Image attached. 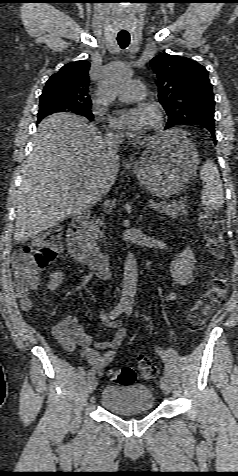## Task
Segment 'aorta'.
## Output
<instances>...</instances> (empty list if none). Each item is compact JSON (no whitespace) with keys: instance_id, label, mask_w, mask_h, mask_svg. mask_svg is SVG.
I'll return each instance as SVG.
<instances>
[{"instance_id":"1","label":"aorta","mask_w":238,"mask_h":476,"mask_svg":"<svg viewBox=\"0 0 238 476\" xmlns=\"http://www.w3.org/2000/svg\"><path fill=\"white\" fill-rule=\"evenodd\" d=\"M131 70L126 66H116L111 68L105 76L101 95L106 104L111 102L117 94L119 86L124 84L130 76ZM138 278V266L135 255L128 252L124 263V282L121 293V305L131 307L136 294Z\"/></svg>"}]
</instances>
